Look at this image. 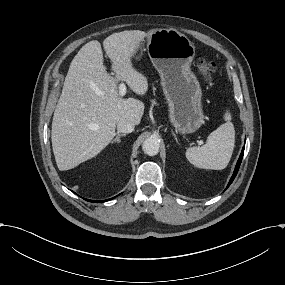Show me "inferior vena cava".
Returning a JSON list of instances; mask_svg holds the SVG:
<instances>
[{"label": "inferior vena cava", "instance_id": "1", "mask_svg": "<svg viewBox=\"0 0 285 285\" xmlns=\"http://www.w3.org/2000/svg\"><path fill=\"white\" fill-rule=\"evenodd\" d=\"M117 130L122 133H131L134 130V124L125 120L119 121L117 124Z\"/></svg>", "mask_w": 285, "mask_h": 285}]
</instances>
